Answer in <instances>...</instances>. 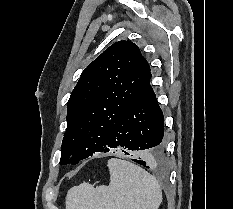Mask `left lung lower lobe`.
Segmentation results:
<instances>
[{
	"mask_svg": "<svg viewBox=\"0 0 233 209\" xmlns=\"http://www.w3.org/2000/svg\"><path fill=\"white\" fill-rule=\"evenodd\" d=\"M149 72L124 113L113 125L104 152L115 148L146 150V157L134 162L153 167L163 163L162 139L164 135L163 113L150 85ZM125 154H128L126 151Z\"/></svg>",
	"mask_w": 233,
	"mask_h": 209,
	"instance_id": "left-lung-lower-lobe-1",
	"label": "left lung lower lobe"
}]
</instances>
